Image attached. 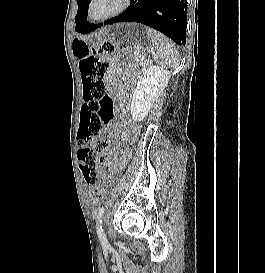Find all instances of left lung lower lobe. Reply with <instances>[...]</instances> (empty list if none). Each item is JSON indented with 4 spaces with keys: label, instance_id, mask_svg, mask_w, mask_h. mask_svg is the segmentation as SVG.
<instances>
[{
    "label": "left lung lower lobe",
    "instance_id": "0a47b994",
    "mask_svg": "<svg viewBox=\"0 0 265 273\" xmlns=\"http://www.w3.org/2000/svg\"><path fill=\"white\" fill-rule=\"evenodd\" d=\"M187 0H132L129 9L104 24L138 22L150 26L180 46L186 42ZM102 24L84 23L79 33H89Z\"/></svg>",
    "mask_w": 265,
    "mask_h": 273
}]
</instances>
